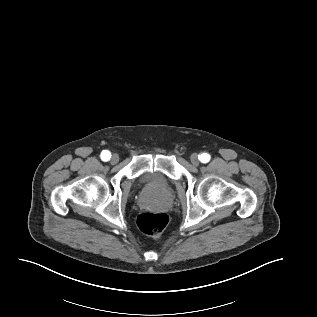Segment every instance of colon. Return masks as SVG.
<instances>
[{"instance_id": "obj_1", "label": "colon", "mask_w": 317, "mask_h": 317, "mask_svg": "<svg viewBox=\"0 0 317 317\" xmlns=\"http://www.w3.org/2000/svg\"><path fill=\"white\" fill-rule=\"evenodd\" d=\"M168 220L165 213L144 212L138 216L137 225L144 234L159 238L164 232Z\"/></svg>"}]
</instances>
